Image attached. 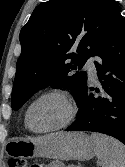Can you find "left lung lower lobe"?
<instances>
[{"label":"left lung lower lobe","mask_w":125,"mask_h":167,"mask_svg":"<svg viewBox=\"0 0 125 167\" xmlns=\"http://www.w3.org/2000/svg\"><path fill=\"white\" fill-rule=\"evenodd\" d=\"M97 75L102 85L99 89L86 86L77 102V120L66 131L100 132L125 144V21L121 14L105 36L96 52Z\"/></svg>","instance_id":"1"}]
</instances>
